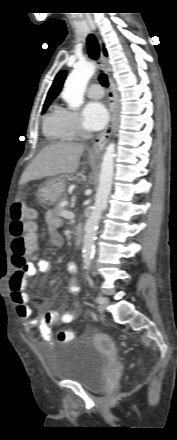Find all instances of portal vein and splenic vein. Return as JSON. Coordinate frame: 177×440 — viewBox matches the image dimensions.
<instances>
[{"mask_svg": "<svg viewBox=\"0 0 177 440\" xmlns=\"http://www.w3.org/2000/svg\"><path fill=\"white\" fill-rule=\"evenodd\" d=\"M61 216L66 219H72L75 217L74 213L67 211V210H62Z\"/></svg>", "mask_w": 177, "mask_h": 440, "instance_id": "1", "label": "portal vein and splenic vein"}]
</instances>
